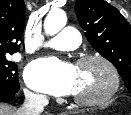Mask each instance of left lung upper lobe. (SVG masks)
<instances>
[{
    "label": "left lung upper lobe",
    "instance_id": "5c2ea615",
    "mask_svg": "<svg viewBox=\"0 0 131 115\" xmlns=\"http://www.w3.org/2000/svg\"><path fill=\"white\" fill-rule=\"evenodd\" d=\"M75 13L89 43L115 65L131 91V26L128 21L104 0H76Z\"/></svg>",
    "mask_w": 131,
    "mask_h": 115
}]
</instances>
